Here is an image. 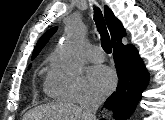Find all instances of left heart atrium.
<instances>
[{"instance_id":"left-heart-atrium-1","label":"left heart atrium","mask_w":165,"mask_h":120,"mask_svg":"<svg viewBox=\"0 0 165 120\" xmlns=\"http://www.w3.org/2000/svg\"><path fill=\"white\" fill-rule=\"evenodd\" d=\"M89 78L94 88L101 93L111 92L117 83L115 72L105 65L93 67L89 72Z\"/></svg>"}]
</instances>
